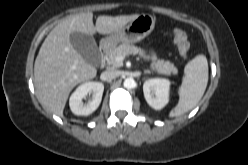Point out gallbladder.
Returning <instances> with one entry per match:
<instances>
[{
	"label": "gallbladder",
	"instance_id": "obj_1",
	"mask_svg": "<svg viewBox=\"0 0 248 165\" xmlns=\"http://www.w3.org/2000/svg\"><path fill=\"white\" fill-rule=\"evenodd\" d=\"M70 42L74 49L83 59L93 66H98L101 62L100 52L92 35L80 32H72Z\"/></svg>",
	"mask_w": 248,
	"mask_h": 165
}]
</instances>
